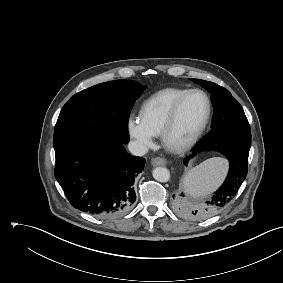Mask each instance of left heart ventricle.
Listing matches in <instances>:
<instances>
[{"instance_id":"left-heart-ventricle-1","label":"left heart ventricle","mask_w":283,"mask_h":283,"mask_svg":"<svg viewBox=\"0 0 283 283\" xmlns=\"http://www.w3.org/2000/svg\"><path fill=\"white\" fill-rule=\"evenodd\" d=\"M206 114L205 98L198 93L189 95L183 102L170 134L173 143H181L194 135Z\"/></svg>"}]
</instances>
